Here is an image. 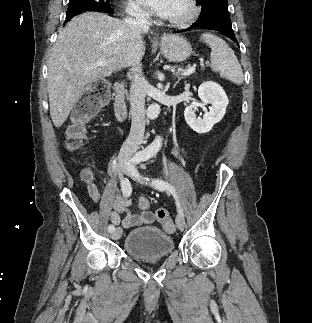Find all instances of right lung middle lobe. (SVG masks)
<instances>
[{
	"label": "right lung middle lobe",
	"mask_w": 312,
	"mask_h": 323,
	"mask_svg": "<svg viewBox=\"0 0 312 323\" xmlns=\"http://www.w3.org/2000/svg\"><path fill=\"white\" fill-rule=\"evenodd\" d=\"M109 0H69L66 19L88 10H110Z\"/></svg>",
	"instance_id": "1"
}]
</instances>
